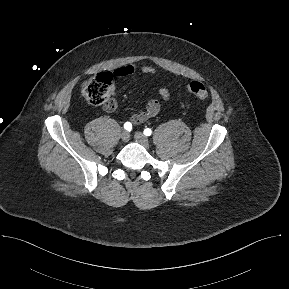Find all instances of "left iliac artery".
<instances>
[{
	"label": "left iliac artery",
	"mask_w": 289,
	"mask_h": 289,
	"mask_svg": "<svg viewBox=\"0 0 289 289\" xmlns=\"http://www.w3.org/2000/svg\"><path fill=\"white\" fill-rule=\"evenodd\" d=\"M144 134H145L146 136H150V135L152 134L151 129H150V128L144 129Z\"/></svg>",
	"instance_id": "44dca946"
}]
</instances>
